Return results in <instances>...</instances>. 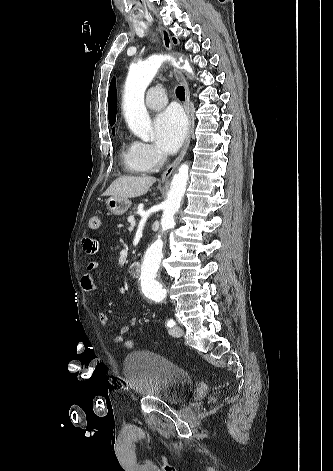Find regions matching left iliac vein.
Wrapping results in <instances>:
<instances>
[{
    "label": "left iliac vein",
    "mask_w": 333,
    "mask_h": 471,
    "mask_svg": "<svg viewBox=\"0 0 333 471\" xmlns=\"http://www.w3.org/2000/svg\"><path fill=\"white\" fill-rule=\"evenodd\" d=\"M169 333L173 337H181L183 335V329L180 326L176 325L169 330Z\"/></svg>",
    "instance_id": "obj_1"
}]
</instances>
